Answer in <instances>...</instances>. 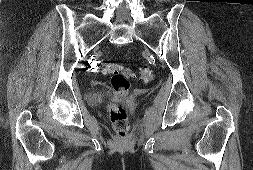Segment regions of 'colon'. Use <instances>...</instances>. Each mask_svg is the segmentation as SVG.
I'll return each instance as SVG.
<instances>
[{"instance_id":"colon-1","label":"colon","mask_w":253,"mask_h":170,"mask_svg":"<svg viewBox=\"0 0 253 170\" xmlns=\"http://www.w3.org/2000/svg\"><path fill=\"white\" fill-rule=\"evenodd\" d=\"M103 72L111 76L112 86L119 96L124 97L128 94L129 79L135 76L130 69L120 64L108 63L104 64ZM138 78L143 83H149L154 79V73L148 66H143L139 69ZM110 120L118 138H126L129 130L126 108L121 104L114 105L110 110Z\"/></svg>"}]
</instances>
